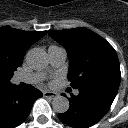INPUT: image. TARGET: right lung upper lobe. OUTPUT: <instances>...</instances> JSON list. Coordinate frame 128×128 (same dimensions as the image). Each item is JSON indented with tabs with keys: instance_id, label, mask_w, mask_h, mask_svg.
I'll return each mask as SVG.
<instances>
[{
	"instance_id": "obj_1",
	"label": "right lung upper lobe",
	"mask_w": 128,
	"mask_h": 128,
	"mask_svg": "<svg viewBox=\"0 0 128 128\" xmlns=\"http://www.w3.org/2000/svg\"><path fill=\"white\" fill-rule=\"evenodd\" d=\"M46 31H22L9 26L0 27V66L17 69L25 50L38 41Z\"/></svg>"
}]
</instances>
